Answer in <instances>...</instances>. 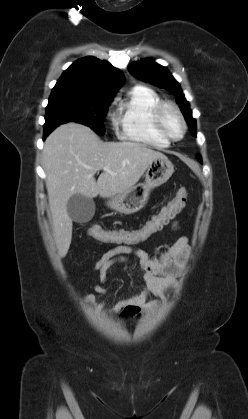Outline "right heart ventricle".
<instances>
[{
    "label": "right heart ventricle",
    "instance_id": "obj_1",
    "mask_svg": "<svg viewBox=\"0 0 248 419\" xmlns=\"http://www.w3.org/2000/svg\"><path fill=\"white\" fill-rule=\"evenodd\" d=\"M160 96L152 89L137 85L118 99L114 123L119 136L127 141L153 147H166L169 142L154 128L152 113L161 103Z\"/></svg>",
    "mask_w": 248,
    "mask_h": 419
}]
</instances>
